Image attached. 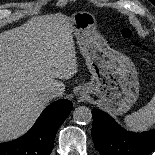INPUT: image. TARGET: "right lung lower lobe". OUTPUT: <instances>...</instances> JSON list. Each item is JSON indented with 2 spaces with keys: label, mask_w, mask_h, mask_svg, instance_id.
Instances as JSON below:
<instances>
[{
  "label": "right lung lower lobe",
  "mask_w": 155,
  "mask_h": 155,
  "mask_svg": "<svg viewBox=\"0 0 155 155\" xmlns=\"http://www.w3.org/2000/svg\"><path fill=\"white\" fill-rule=\"evenodd\" d=\"M72 106L69 100L50 104L25 135L11 142L0 143V155H49L56 132L71 112Z\"/></svg>",
  "instance_id": "obj_1"
}]
</instances>
